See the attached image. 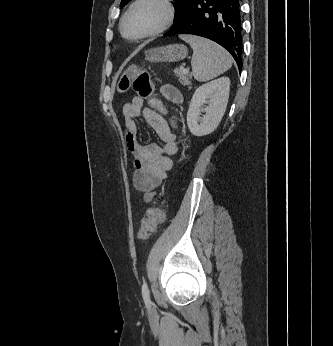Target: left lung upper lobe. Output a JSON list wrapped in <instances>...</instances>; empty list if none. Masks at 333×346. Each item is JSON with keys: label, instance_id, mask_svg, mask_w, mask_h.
<instances>
[{"label": "left lung upper lobe", "instance_id": "1", "mask_svg": "<svg viewBox=\"0 0 333 346\" xmlns=\"http://www.w3.org/2000/svg\"><path fill=\"white\" fill-rule=\"evenodd\" d=\"M130 1L131 0H122L120 3V7L122 8ZM175 1H176V7H175L174 22L178 23L180 20L184 18L186 10L193 0H175Z\"/></svg>", "mask_w": 333, "mask_h": 346}]
</instances>
